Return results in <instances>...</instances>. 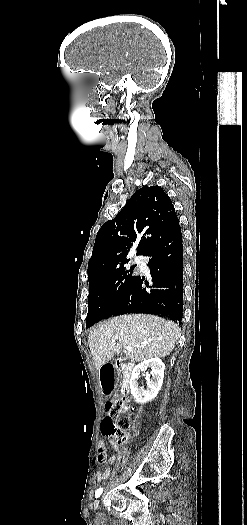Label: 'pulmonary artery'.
I'll use <instances>...</instances> for the list:
<instances>
[{
    "label": "pulmonary artery",
    "instance_id": "obj_1",
    "mask_svg": "<svg viewBox=\"0 0 247 525\" xmlns=\"http://www.w3.org/2000/svg\"><path fill=\"white\" fill-rule=\"evenodd\" d=\"M132 261H143L141 257L137 256L132 259Z\"/></svg>",
    "mask_w": 247,
    "mask_h": 525
}]
</instances>
